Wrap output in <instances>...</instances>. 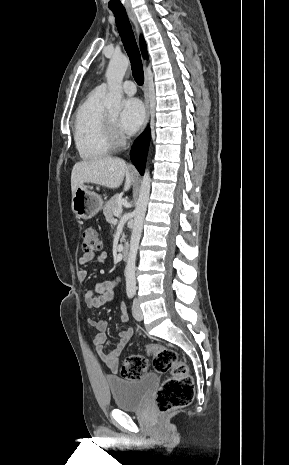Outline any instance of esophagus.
I'll list each match as a JSON object with an SVG mask.
<instances>
[{"label": "esophagus", "instance_id": "esophagus-1", "mask_svg": "<svg viewBox=\"0 0 289 465\" xmlns=\"http://www.w3.org/2000/svg\"><path fill=\"white\" fill-rule=\"evenodd\" d=\"M127 13H128V16H129L130 20L132 21V23L134 25L135 32H136V34L138 36L139 35V26H138V23H137L135 13L131 8H127ZM144 66H146L145 62H144ZM143 91H144V102H145L146 115H145V120H144V123H143L142 131L146 128V126H147V124L149 122V118H150V106H149V96H148V76H147L146 72H145Z\"/></svg>", "mask_w": 289, "mask_h": 465}]
</instances>
